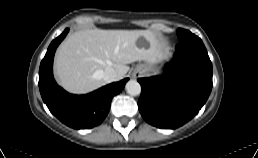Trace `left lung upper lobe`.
Masks as SVG:
<instances>
[{
	"instance_id": "left-lung-upper-lobe-1",
	"label": "left lung upper lobe",
	"mask_w": 258,
	"mask_h": 158,
	"mask_svg": "<svg viewBox=\"0 0 258 158\" xmlns=\"http://www.w3.org/2000/svg\"><path fill=\"white\" fill-rule=\"evenodd\" d=\"M191 32L185 29H178L177 30V36L179 40L185 39L188 35H190Z\"/></svg>"
}]
</instances>
